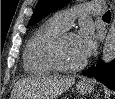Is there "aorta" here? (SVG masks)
Returning <instances> with one entry per match:
<instances>
[{
	"label": "aorta",
	"mask_w": 115,
	"mask_h": 99,
	"mask_svg": "<svg viewBox=\"0 0 115 99\" xmlns=\"http://www.w3.org/2000/svg\"><path fill=\"white\" fill-rule=\"evenodd\" d=\"M115 59V15L103 47L102 60L109 63Z\"/></svg>",
	"instance_id": "762f6f07"
}]
</instances>
